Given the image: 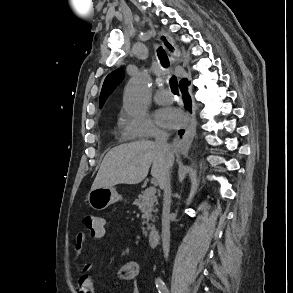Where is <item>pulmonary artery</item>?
Here are the masks:
<instances>
[{
    "instance_id": "1",
    "label": "pulmonary artery",
    "mask_w": 293,
    "mask_h": 293,
    "mask_svg": "<svg viewBox=\"0 0 293 293\" xmlns=\"http://www.w3.org/2000/svg\"><path fill=\"white\" fill-rule=\"evenodd\" d=\"M173 99V94L168 89H160L154 96V100L158 104H169L173 101Z\"/></svg>"
}]
</instances>
